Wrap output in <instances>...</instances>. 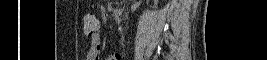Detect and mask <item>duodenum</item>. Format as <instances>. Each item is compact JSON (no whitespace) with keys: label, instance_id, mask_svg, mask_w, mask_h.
Masks as SVG:
<instances>
[{"label":"duodenum","instance_id":"obj_1","mask_svg":"<svg viewBox=\"0 0 267 60\" xmlns=\"http://www.w3.org/2000/svg\"><path fill=\"white\" fill-rule=\"evenodd\" d=\"M123 11L120 8H116L113 10V16L116 19H121Z\"/></svg>","mask_w":267,"mask_h":60}]
</instances>
